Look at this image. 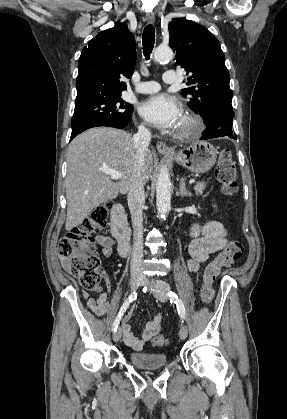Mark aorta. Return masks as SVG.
Segmentation results:
<instances>
[{
  "label": "aorta",
  "mask_w": 287,
  "mask_h": 419,
  "mask_svg": "<svg viewBox=\"0 0 287 419\" xmlns=\"http://www.w3.org/2000/svg\"><path fill=\"white\" fill-rule=\"evenodd\" d=\"M172 58L173 51L169 47L159 46L154 51V60L157 62L170 61ZM156 207L162 218L171 210V180L166 165H162L156 183Z\"/></svg>",
  "instance_id": "1"
}]
</instances>
